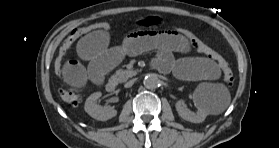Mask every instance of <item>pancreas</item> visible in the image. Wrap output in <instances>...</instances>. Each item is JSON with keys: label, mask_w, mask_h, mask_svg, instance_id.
Instances as JSON below:
<instances>
[{"label": "pancreas", "mask_w": 279, "mask_h": 148, "mask_svg": "<svg viewBox=\"0 0 279 148\" xmlns=\"http://www.w3.org/2000/svg\"><path fill=\"white\" fill-rule=\"evenodd\" d=\"M134 75H136V71L119 69L116 71L113 77L122 83Z\"/></svg>", "instance_id": "cf45deb5"}]
</instances>
